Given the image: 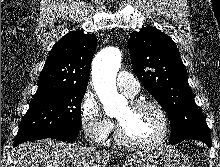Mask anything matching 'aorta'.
<instances>
[{
	"instance_id": "aorta-1",
	"label": "aorta",
	"mask_w": 220,
	"mask_h": 167,
	"mask_svg": "<svg viewBox=\"0 0 220 167\" xmlns=\"http://www.w3.org/2000/svg\"><path fill=\"white\" fill-rule=\"evenodd\" d=\"M121 52L118 48L108 47L99 52L92 66V81L104 111L111 116L117 112L120 105L126 102L118 94L116 75L121 66Z\"/></svg>"
}]
</instances>
